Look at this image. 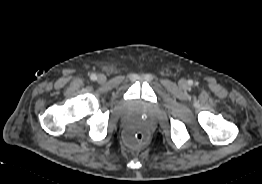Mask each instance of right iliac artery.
<instances>
[{
	"instance_id": "1",
	"label": "right iliac artery",
	"mask_w": 262,
	"mask_h": 184,
	"mask_svg": "<svg viewBox=\"0 0 262 184\" xmlns=\"http://www.w3.org/2000/svg\"><path fill=\"white\" fill-rule=\"evenodd\" d=\"M90 79L93 80V81L96 80L97 79L96 74H91Z\"/></svg>"
}]
</instances>
